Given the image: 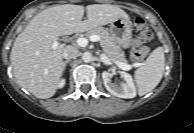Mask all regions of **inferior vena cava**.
I'll list each match as a JSON object with an SVG mask.
<instances>
[{"instance_id": "1", "label": "inferior vena cava", "mask_w": 194, "mask_h": 133, "mask_svg": "<svg viewBox=\"0 0 194 133\" xmlns=\"http://www.w3.org/2000/svg\"><path fill=\"white\" fill-rule=\"evenodd\" d=\"M79 51L73 46H66L63 52V57L67 60L75 59L79 56Z\"/></svg>"}]
</instances>
